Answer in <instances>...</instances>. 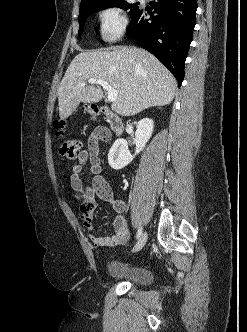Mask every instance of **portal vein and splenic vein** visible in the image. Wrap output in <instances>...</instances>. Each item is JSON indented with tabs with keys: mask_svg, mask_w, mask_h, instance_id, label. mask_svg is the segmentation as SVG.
I'll return each instance as SVG.
<instances>
[{
	"mask_svg": "<svg viewBox=\"0 0 247 332\" xmlns=\"http://www.w3.org/2000/svg\"><path fill=\"white\" fill-rule=\"evenodd\" d=\"M89 84H99L107 91V98L110 102H113L117 99L118 93L117 90L113 89L106 81L101 79H89ZM85 83H81L80 86H85Z\"/></svg>",
	"mask_w": 247,
	"mask_h": 332,
	"instance_id": "portal-vein-and-splenic-vein-1",
	"label": "portal vein and splenic vein"
}]
</instances>
